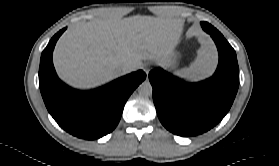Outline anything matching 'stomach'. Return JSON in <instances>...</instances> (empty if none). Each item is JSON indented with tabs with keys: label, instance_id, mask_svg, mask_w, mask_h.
Masks as SVG:
<instances>
[{
	"label": "stomach",
	"instance_id": "1",
	"mask_svg": "<svg viewBox=\"0 0 279 166\" xmlns=\"http://www.w3.org/2000/svg\"><path fill=\"white\" fill-rule=\"evenodd\" d=\"M178 53L173 50L169 55H167L160 63L166 67L174 68L177 65Z\"/></svg>",
	"mask_w": 279,
	"mask_h": 166
}]
</instances>
